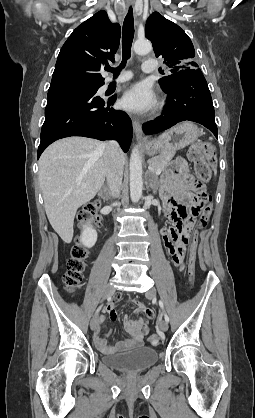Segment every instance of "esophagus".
Here are the masks:
<instances>
[{"label": "esophagus", "mask_w": 255, "mask_h": 418, "mask_svg": "<svg viewBox=\"0 0 255 418\" xmlns=\"http://www.w3.org/2000/svg\"><path fill=\"white\" fill-rule=\"evenodd\" d=\"M131 2H132V0H129V3H131ZM133 130H134L136 138L139 142L143 143V142L147 141L146 138L143 136L142 126H141L140 122L136 119L133 120Z\"/></svg>", "instance_id": "esophagus-1"}]
</instances>
